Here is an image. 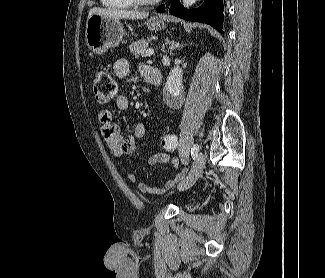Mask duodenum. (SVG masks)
<instances>
[{
    "mask_svg": "<svg viewBox=\"0 0 325 278\" xmlns=\"http://www.w3.org/2000/svg\"><path fill=\"white\" fill-rule=\"evenodd\" d=\"M145 78L151 85L155 87L161 86L162 74L159 70L152 67H147L145 70Z\"/></svg>",
    "mask_w": 325,
    "mask_h": 278,
    "instance_id": "410a0bca",
    "label": "duodenum"
}]
</instances>
